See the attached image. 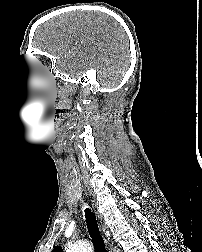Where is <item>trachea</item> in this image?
<instances>
[{
  "label": "trachea",
  "mask_w": 202,
  "mask_h": 252,
  "mask_svg": "<svg viewBox=\"0 0 202 252\" xmlns=\"http://www.w3.org/2000/svg\"><path fill=\"white\" fill-rule=\"evenodd\" d=\"M85 220H86L89 235L93 241V245L96 252H106V248H105L102 236L100 235V232L98 229L96 217L94 213L91 211V209L89 208L85 209Z\"/></svg>",
  "instance_id": "trachea-1"
}]
</instances>
